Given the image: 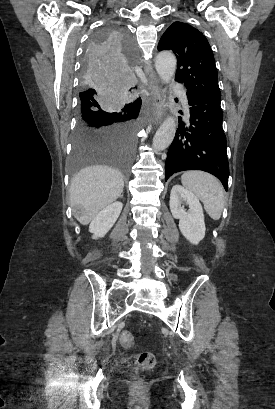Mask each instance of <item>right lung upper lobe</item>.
I'll return each mask as SVG.
<instances>
[{
  "label": "right lung upper lobe",
  "mask_w": 275,
  "mask_h": 409,
  "mask_svg": "<svg viewBox=\"0 0 275 409\" xmlns=\"http://www.w3.org/2000/svg\"><path fill=\"white\" fill-rule=\"evenodd\" d=\"M134 103H141V99L138 98Z\"/></svg>",
  "instance_id": "cb5924a9"
}]
</instances>
